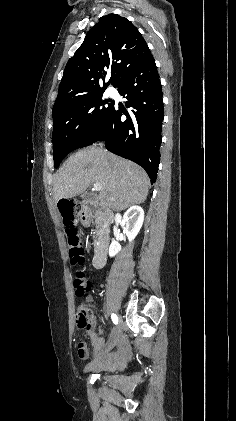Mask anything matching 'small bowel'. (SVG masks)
Returning <instances> with one entry per match:
<instances>
[{"instance_id":"small-bowel-1","label":"small bowel","mask_w":236,"mask_h":421,"mask_svg":"<svg viewBox=\"0 0 236 421\" xmlns=\"http://www.w3.org/2000/svg\"><path fill=\"white\" fill-rule=\"evenodd\" d=\"M83 305H85V306H89V307H91L92 305H93V300H92V298L89 296V297H87V299H86V301L83 303ZM89 333V335H90V337H91V339H92V342H93V345H94V347H95V349L97 350V354H96V356H95V362L100 358V357H103L104 355H106V354H109V353H102L100 350H101V347L103 346V344H104V341H103V339H101V338H98L97 337V335L94 333V332H92V331H89L88 332ZM98 340H100L99 342H98ZM117 341H118V339H117ZM87 355H88V352H87V354L85 355V356H83V357H81V358H86L87 357ZM110 355L111 356H115L116 355V353H110Z\"/></svg>"}]
</instances>
